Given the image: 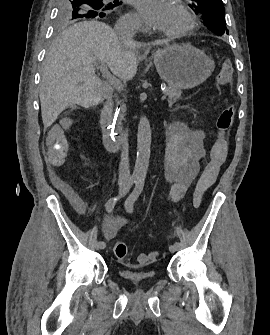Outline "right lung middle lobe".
<instances>
[{"label":"right lung middle lobe","instance_id":"obj_1","mask_svg":"<svg viewBox=\"0 0 270 335\" xmlns=\"http://www.w3.org/2000/svg\"><path fill=\"white\" fill-rule=\"evenodd\" d=\"M118 0L103 2V0H59L57 22L59 25L78 22L83 19L103 18L115 6L120 5Z\"/></svg>","mask_w":270,"mask_h":335}]
</instances>
